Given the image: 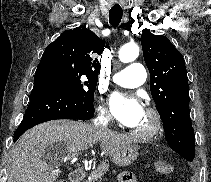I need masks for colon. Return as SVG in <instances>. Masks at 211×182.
<instances>
[{
    "mask_svg": "<svg viewBox=\"0 0 211 182\" xmlns=\"http://www.w3.org/2000/svg\"><path fill=\"white\" fill-rule=\"evenodd\" d=\"M154 170L160 175H169L173 172L174 167L171 163L166 161H156L154 163ZM56 182H66L65 180H58Z\"/></svg>",
    "mask_w": 211,
    "mask_h": 182,
    "instance_id": "obj_1",
    "label": "colon"
}]
</instances>
